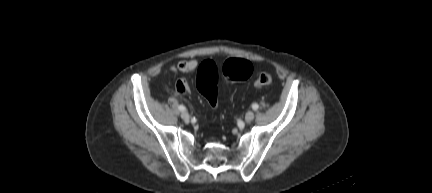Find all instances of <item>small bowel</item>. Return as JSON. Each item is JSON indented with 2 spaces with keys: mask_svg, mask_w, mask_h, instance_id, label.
Instances as JSON below:
<instances>
[{
  "mask_svg": "<svg viewBox=\"0 0 432 193\" xmlns=\"http://www.w3.org/2000/svg\"><path fill=\"white\" fill-rule=\"evenodd\" d=\"M198 66V62L195 59L181 60L177 64V69L181 72H192ZM188 87V84L185 80H179L176 84V89L178 92H185Z\"/></svg>",
  "mask_w": 432,
  "mask_h": 193,
  "instance_id": "c3829d8e",
  "label": "small bowel"
}]
</instances>
